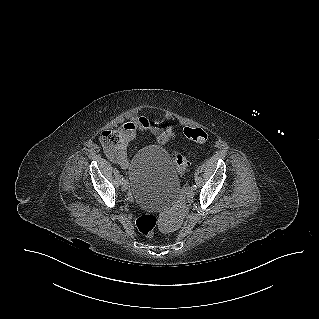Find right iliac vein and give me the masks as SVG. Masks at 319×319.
<instances>
[{
	"mask_svg": "<svg viewBox=\"0 0 319 319\" xmlns=\"http://www.w3.org/2000/svg\"><path fill=\"white\" fill-rule=\"evenodd\" d=\"M121 188H122L123 191H127L128 190L129 184H128V182L126 180L123 181Z\"/></svg>",
	"mask_w": 319,
	"mask_h": 319,
	"instance_id": "63e3f726",
	"label": "right iliac vein"
}]
</instances>
